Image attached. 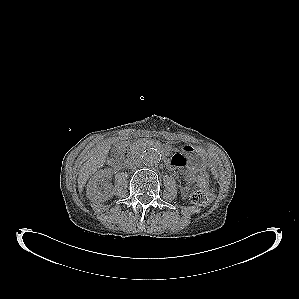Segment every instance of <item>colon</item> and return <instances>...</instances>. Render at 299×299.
Instances as JSON below:
<instances>
[{"instance_id":"colon-1","label":"colon","mask_w":299,"mask_h":299,"mask_svg":"<svg viewBox=\"0 0 299 299\" xmlns=\"http://www.w3.org/2000/svg\"><path fill=\"white\" fill-rule=\"evenodd\" d=\"M195 180L199 185V188L194 190L190 195V200L192 203L200 206H207L213 200V192L208 188L209 177L206 172L200 171Z\"/></svg>"}]
</instances>
